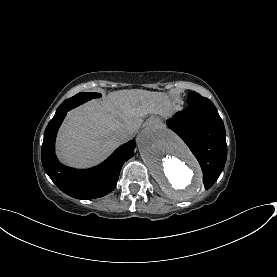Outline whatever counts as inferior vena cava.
<instances>
[{"instance_id":"inferior-vena-cava-1","label":"inferior vena cava","mask_w":277,"mask_h":277,"mask_svg":"<svg viewBox=\"0 0 277 277\" xmlns=\"http://www.w3.org/2000/svg\"><path fill=\"white\" fill-rule=\"evenodd\" d=\"M134 130L132 129H119L115 131L114 135L118 142L124 143L133 136Z\"/></svg>"}]
</instances>
